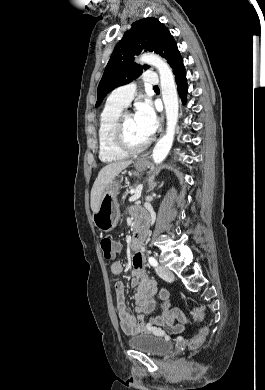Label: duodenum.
Listing matches in <instances>:
<instances>
[{
  "mask_svg": "<svg viewBox=\"0 0 265 390\" xmlns=\"http://www.w3.org/2000/svg\"><path fill=\"white\" fill-rule=\"evenodd\" d=\"M147 220L142 216H137L134 222L133 236L131 240V245L136 248H140L146 239L147 236Z\"/></svg>",
  "mask_w": 265,
  "mask_h": 390,
  "instance_id": "410a0bca",
  "label": "duodenum"
}]
</instances>
